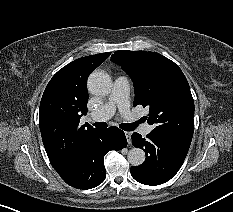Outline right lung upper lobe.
Here are the masks:
<instances>
[{"label": "right lung upper lobe", "instance_id": "right-lung-upper-lobe-1", "mask_svg": "<svg viewBox=\"0 0 233 212\" xmlns=\"http://www.w3.org/2000/svg\"><path fill=\"white\" fill-rule=\"evenodd\" d=\"M110 52L79 58L60 69L48 83L40 103L39 126L49 160L58 174L75 164L99 131L80 126L87 113L88 75Z\"/></svg>", "mask_w": 233, "mask_h": 212}]
</instances>
